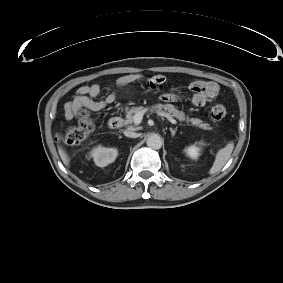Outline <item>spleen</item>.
<instances>
[{
  "mask_svg": "<svg viewBox=\"0 0 283 283\" xmlns=\"http://www.w3.org/2000/svg\"><path fill=\"white\" fill-rule=\"evenodd\" d=\"M234 149V143L229 142L224 148L220 149L215 156V161L209 170V174L218 172L230 159L232 151Z\"/></svg>",
  "mask_w": 283,
  "mask_h": 283,
  "instance_id": "1",
  "label": "spleen"
}]
</instances>
